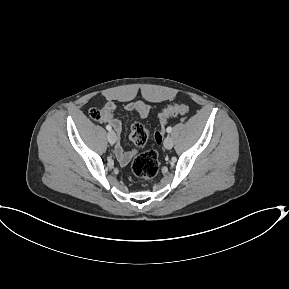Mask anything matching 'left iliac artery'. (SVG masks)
I'll use <instances>...</instances> for the list:
<instances>
[{
	"label": "left iliac artery",
	"instance_id": "1",
	"mask_svg": "<svg viewBox=\"0 0 289 289\" xmlns=\"http://www.w3.org/2000/svg\"><path fill=\"white\" fill-rule=\"evenodd\" d=\"M166 131L168 132V133H170L171 131H172V127H167V129H166Z\"/></svg>",
	"mask_w": 289,
	"mask_h": 289
}]
</instances>
